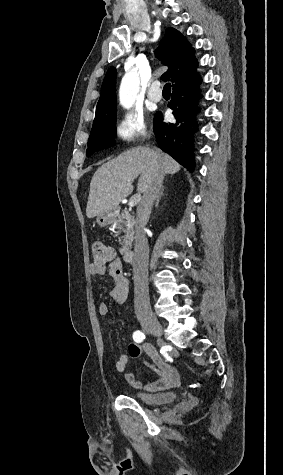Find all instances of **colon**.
Segmentation results:
<instances>
[{
    "mask_svg": "<svg viewBox=\"0 0 283 475\" xmlns=\"http://www.w3.org/2000/svg\"><path fill=\"white\" fill-rule=\"evenodd\" d=\"M91 253L93 255L95 266H102L111 264L115 258V251L113 248L105 246L101 242H94L91 245Z\"/></svg>",
    "mask_w": 283,
    "mask_h": 475,
    "instance_id": "1",
    "label": "colon"
}]
</instances>
